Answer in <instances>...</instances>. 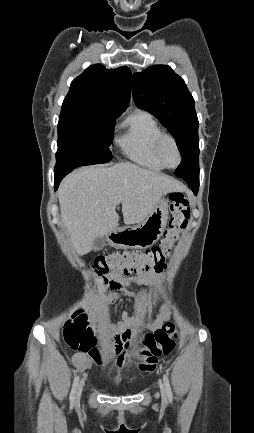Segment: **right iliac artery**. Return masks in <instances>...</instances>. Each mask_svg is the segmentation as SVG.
<instances>
[{"label":"right iliac artery","instance_id":"obj_1","mask_svg":"<svg viewBox=\"0 0 254 433\" xmlns=\"http://www.w3.org/2000/svg\"><path fill=\"white\" fill-rule=\"evenodd\" d=\"M78 383H79V376H76L75 379H74V382H73V385H72V389H71V393H70V397H69V400H70L71 404L74 402Z\"/></svg>","mask_w":254,"mask_h":433}]
</instances>
